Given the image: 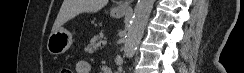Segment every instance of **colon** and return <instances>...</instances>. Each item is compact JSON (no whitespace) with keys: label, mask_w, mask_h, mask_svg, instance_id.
<instances>
[{"label":"colon","mask_w":244,"mask_h":73,"mask_svg":"<svg viewBox=\"0 0 244 73\" xmlns=\"http://www.w3.org/2000/svg\"><path fill=\"white\" fill-rule=\"evenodd\" d=\"M61 73H72V70L70 67L66 66L61 69Z\"/></svg>","instance_id":"5ec220e1"}]
</instances>
